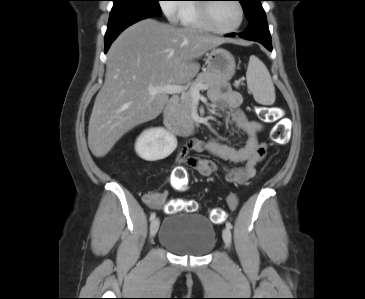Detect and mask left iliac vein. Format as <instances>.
Returning a JSON list of instances; mask_svg holds the SVG:
<instances>
[{
    "label": "left iliac vein",
    "instance_id": "left-iliac-vein-1",
    "mask_svg": "<svg viewBox=\"0 0 365 299\" xmlns=\"http://www.w3.org/2000/svg\"><path fill=\"white\" fill-rule=\"evenodd\" d=\"M223 240L226 243L227 246H230L231 244V231L228 228H225L223 230Z\"/></svg>",
    "mask_w": 365,
    "mask_h": 299
}]
</instances>
